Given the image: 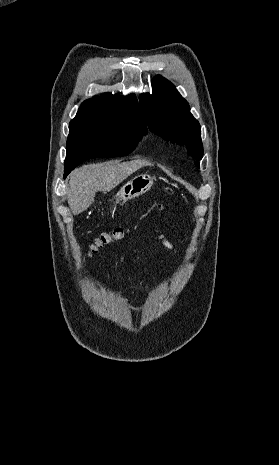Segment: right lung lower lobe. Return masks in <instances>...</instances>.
<instances>
[{
    "label": "right lung lower lobe",
    "instance_id": "1",
    "mask_svg": "<svg viewBox=\"0 0 279 465\" xmlns=\"http://www.w3.org/2000/svg\"><path fill=\"white\" fill-rule=\"evenodd\" d=\"M70 172H71V170L65 171L64 178H65Z\"/></svg>",
    "mask_w": 279,
    "mask_h": 465
}]
</instances>
